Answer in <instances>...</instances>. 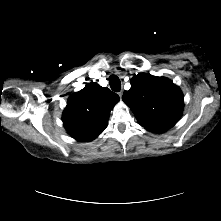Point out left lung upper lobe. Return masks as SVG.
<instances>
[{"mask_svg":"<svg viewBox=\"0 0 221 221\" xmlns=\"http://www.w3.org/2000/svg\"><path fill=\"white\" fill-rule=\"evenodd\" d=\"M123 101L132 109L138 123L155 133L173 127L184 106L183 94L171 80L145 73L131 79V88L124 92Z\"/></svg>","mask_w":221,"mask_h":221,"instance_id":"obj_1","label":"left lung upper lobe"}]
</instances>
